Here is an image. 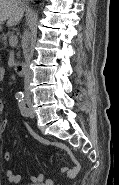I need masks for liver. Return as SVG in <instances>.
Listing matches in <instances>:
<instances>
[{
  "mask_svg": "<svg viewBox=\"0 0 119 185\" xmlns=\"http://www.w3.org/2000/svg\"><path fill=\"white\" fill-rule=\"evenodd\" d=\"M22 0H0V24L7 20L8 26L17 25L23 17Z\"/></svg>",
  "mask_w": 119,
  "mask_h": 185,
  "instance_id": "liver-1",
  "label": "liver"
}]
</instances>
